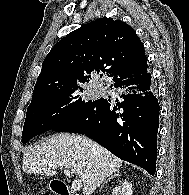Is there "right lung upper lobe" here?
Masks as SVG:
<instances>
[{"instance_id": "obj_1", "label": "right lung upper lobe", "mask_w": 189, "mask_h": 195, "mask_svg": "<svg viewBox=\"0 0 189 195\" xmlns=\"http://www.w3.org/2000/svg\"><path fill=\"white\" fill-rule=\"evenodd\" d=\"M146 66L142 42L129 25L114 19L95 20L69 33L51 49L42 64L32 101L88 82L99 71L116 81Z\"/></svg>"}]
</instances>
